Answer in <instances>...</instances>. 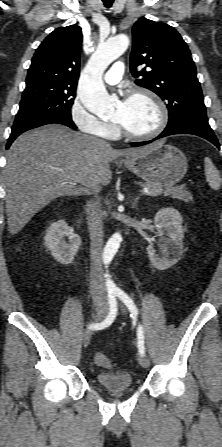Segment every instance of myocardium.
<instances>
[{
    "label": "myocardium",
    "instance_id": "f54148a6",
    "mask_svg": "<svg viewBox=\"0 0 222 447\" xmlns=\"http://www.w3.org/2000/svg\"><path fill=\"white\" fill-rule=\"evenodd\" d=\"M139 96L148 98L156 106L159 113V122L156 128L148 133L136 134L126 129L119 121H116V125L118 131L124 137L130 140L143 141L160 135L168 125L169 115L165 103L154 92L148 89H135L128 94L127 99H133Z\"/></svg>",
    "mask_w": 222,
    "mask_h": 447
}]
</instances>
